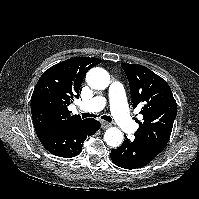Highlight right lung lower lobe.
Listing matches in <instances>:
<instances>
[{
	"label": "right lung lower lobe",
	"instance_id": "1",
	"mask_svg": "<svg viewBox=\"0 0 199 199\" xmlns=\"http://www.w3.org/2000/svg\"><path fill=\"white\" fill-rule=\"evenodd\" d=\"M100 122L86 119L82 122L60 126L48 124L36 127V134L42 145L53 155L71 158L77 156L88 136L94 135Z\"/></svg>",
	"mask_w": 199,
	"mask_h": 199
}]
</instances>
